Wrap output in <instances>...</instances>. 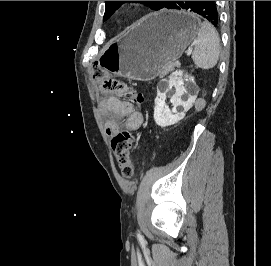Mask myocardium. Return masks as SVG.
Masks as SVG:
<instances>
[{
    "label": "myocardium",
    "instance_id": "obj_1",
    "mask_svg": "<svg viewBox=\"0 0 271 266\" xmlns=\"http://www.w3.org/2000/svg\"><path fill=\"white\" fill-rule=\"evenodd\" d=\"M134 10H135V8H134L133 4L124 3L118 7L117 14L121 18H127L133 14Z\"/></svg>",
    "mask_w": 271,
    "mask_h": 266
}]
</instances>
